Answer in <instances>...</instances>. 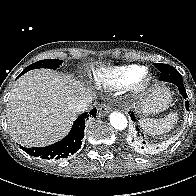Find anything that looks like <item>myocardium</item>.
Wrapping results in <instances>:
<instances>
[{
    "instance_id": "f54148a6",
    "label": "myocardium",
    "mask_w": 196,
    "mask_h": 196,
    "mask_svg": "<svg viewBox=\"0 0 196 196\" xmlns=\"http://www.w3.org/2000/svg\"><path fill=\"white\" fill-rule=\"evenodd\" d=\"M153 81V76L147 70L131 84V92L134 95H141L144 93Z\"/></svg>"
}]
</instances>
